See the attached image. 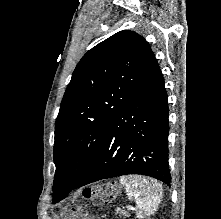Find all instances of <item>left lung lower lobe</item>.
I'll return each instance as SVG.
<instances>
[{
	"label": "left lung lower lobe",
	"instance_id": "obj_1",
	"mask_svg": "<svg viewBox=\"0 0 221 219\" xmlns=\"http://www.w3.org/2000/svg\"><path fill=\"white\" fill-rule=\"evenodd\" d=\"M168 111L164 79L156 62L141 88L114 119L74 188L128 174L147 175L170 186Z\"/></svg>",
	"mask_w": 221,
	"mask_h": 219
}]
</instances>
